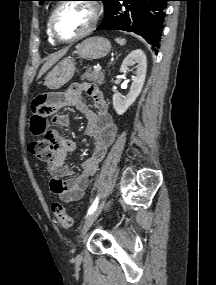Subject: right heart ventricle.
<instances>
[{"label": "right heart ventricle", "mask_w": 216, "mask_h": 285, "mask_svg": "<svg viewBox=\"0 0 216 285\" xmlns=\"http://www.w3.org/2000/svg\"><path fill=\"white\" fill-rule=\"evenodd\" d=\"M50 18V17H49ZM49 18H48V21H47V24H46V33H47V36H48V40L51 44H55V40L52 38L51 34H50V30H49Z\"/></svg>", "instance_id": "e07e8e85"}]
</instances>
